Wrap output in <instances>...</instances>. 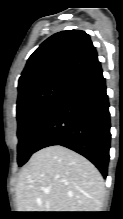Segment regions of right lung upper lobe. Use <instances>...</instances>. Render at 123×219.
<instances>
[{
    "label": "right lung upper lobe",
    "mask_w": 123,
    "mask_h": 219,
    "mask_svg": "<svg viewBox=\"0 0 123 219\" xmlns=\"http://www.w3.org/2000/svg\"><path fill=\"white\" fill-rule=\"evenodd\" d=\"M97 61L96 49L84 31L58 32L45 40L28 59L19 78L18 98L50 82H68Z\"/></svg>",
    "instance_id": "right-lung-upper-lobe-1"
}]
</instances>
